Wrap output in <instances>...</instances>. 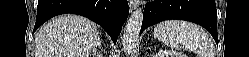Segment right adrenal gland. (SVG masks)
<instances>
[{"mask_svg": "<svg viewBox=\"0 0 249 57\" xmlns=\"http://www.w3.org/2000/svg\"><path fill=\"white\" fill-rule=\"evenodd\" d=\"M96 46L98 47V49H101V40L100 39L97 41ZM97 47L93 49V53L96 54V52H98L97 53L98 57H100L101 56V52H99V50L97 49Z\"/></svg>", "mask_w": 249, "mask_h": 57, "instance_id": "obj_1", "label": "right adrenal gland"}]
</instances>
